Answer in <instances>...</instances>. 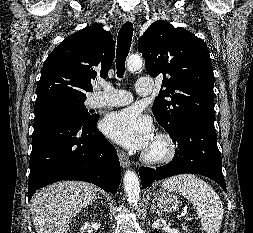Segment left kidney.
Here are the masks:
<instances>
[{
    "instance_id": "left-kidney-1",
    "label": "left kidney",
    "mask_w": 253,
    "mask_h": 233,
    "mask_svg": "<svg viewBox=\"0 0 253 233\" xmlns=\"http://www.w3.org/2000/svg\"><path fill=\"white\" fill-rule=\"evenodd\" d=\"M181 226H182V229L187 233L188 232L187 226H185V224H182Z\"/></svg>"
}]
</instances>
